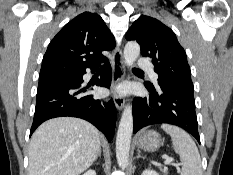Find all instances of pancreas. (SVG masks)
Listing matches in <instances>:
<instances>
[{
	"label": "pancreas",
	"mask_w": 233,
	"mask_h": 175,
	"mask_svg": "<svg viewBox=\"0 0 233 175\" xmlns=\"http://www.w3.org/2000/svg\"><path fill=\"white\" fill-rule=\"evenodd\" d=\"M163 173L167 174L168 173V169L167 168H164V169H160Z\"/></svg>",
	"instance_id": "pancreas-1"
}]
</instances>
